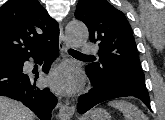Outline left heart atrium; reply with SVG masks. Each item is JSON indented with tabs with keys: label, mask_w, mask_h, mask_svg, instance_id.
I'll return each mask as SVG.
<instances>
[{
	"label": "left heart atrium",
	"mask_w": 165,
	"mask_h": 120,
	"mask_svg": "<svg viewBox=\"0 0 165 120\" xmlns=\"http://www.w3.org/2000/svg\"><path fill=\"white\" fill-rule=\"evenodd\" d=\"M48 84L61 93H73L78 89L81 79L77 69L70 64H62L50 74Z\"/></svg>",
	"instance_id": "left-heart-atrium-1"
}]
</instances>
